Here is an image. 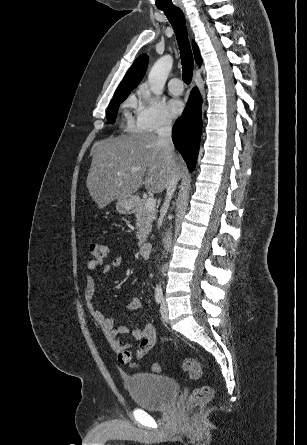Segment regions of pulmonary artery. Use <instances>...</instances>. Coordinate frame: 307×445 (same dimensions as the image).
Segmentation results:
<instances>
[{
    "instance_id": "obj_1",
    "label": "pulmonary artery",
    "mask_w": 307,
    "mask_h": 445,
    "mask_svg": "<svg viewBox=\"0 0 307 445\" xmlns=\"http://www.w3.org/2000/svg\"><path fill=\"white\" fill-rule=\"evenodd\" d=\"M171 80L169 82V91L173 94V95H181L183 92V88H182V83L180 81H176V80H180V75L177 73H173L171 75Z\"/></svg>"
}]
</instances>
